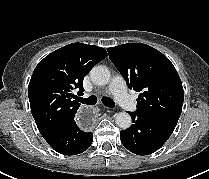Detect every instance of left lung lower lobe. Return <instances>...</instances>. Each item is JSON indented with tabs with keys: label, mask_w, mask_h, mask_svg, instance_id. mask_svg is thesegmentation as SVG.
<instances>
[{
	"label": "left lung lower lobe",
	"mask_w": 209,
	"mask_h": 179,
	"mask_svg": "<svg viewBox=\"0 0 209 179\" xmlns=\"http://www.w3.org/2000/svg\"><path fill=\"white\" fill-rule=\"evenodd\" d=\"M133 124L120 132V139L126 149L137 155H148L157 151L171 136L177 121L130 112Z\"/></svg>",
	"instance_id": "obj_1"
}]
</instances>
